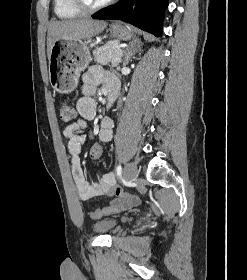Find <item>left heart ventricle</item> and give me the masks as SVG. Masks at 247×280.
<instances>
[{"label": "left heart ventricle", "mask_w": 247, "mask_h": 280, "mask_svg": "<svg viewBox=\"0 0 247 280\" xmlns=\"http://www.w3.org/2000/svg\"><path fill=\"white\" fill-rule=\"evenodd\" d=\"M89 5H97L100 4L106 0H85Z\"/></svg>", "instance_id": "1"}]
</instances>
